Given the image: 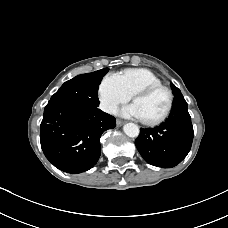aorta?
<instances>
[{"mask_svg":"<svg viewBox=\"0 0 228 228\" xmlns=\"http://www.w3.org/2000/svg\"><path fill=\"white\" fill-rule=\"evenodd\" d=\"M124 133L131 138L137 137L139 135V127L134 123H127L123 126Z\"/></svg>","mask_w":228,"mask_h":228,"instance_id":"aorta-1","label":"aorta"}]
</instances>
